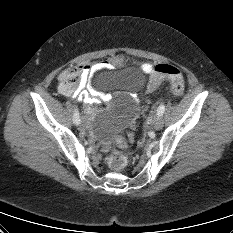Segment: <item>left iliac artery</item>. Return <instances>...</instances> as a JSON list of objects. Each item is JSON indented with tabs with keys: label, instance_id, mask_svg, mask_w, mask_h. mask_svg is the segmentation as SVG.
I'll use <instances>...</instances> for the list:
<instances>
[{
	"label": "left iliac artery",
	"instance_id": "44dca946",
	"mask_svg": "<svg viewBox=\"0 0 233 233\" xmlns=\"http://www.w3.org/2000/svg\"><path fill=\"white\" fill-rule=\"evenodd\" d=\"M165 111V105L162 103L157 109V115L162 116Z\"/></svg>",
	"mask_w": 233,
	"mask_h": 233
}]
</instances>
